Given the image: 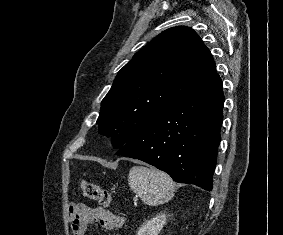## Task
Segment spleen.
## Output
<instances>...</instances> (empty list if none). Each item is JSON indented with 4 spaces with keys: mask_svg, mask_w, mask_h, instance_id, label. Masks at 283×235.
Masks as SVG:
<instances>
[{
    "mask_svg": "<svg viewBox=\"0 0 283 235\" xmlns=\"http://www.w3.org/2000/svg\"><path fill=\"white\" fill-rule=\"evenodd\" d=\"M130 189L149 206H158L171 200L175 192L172 178L155 168L133 166L128 175Z\"/></svg>",
    "mask_w": 283,
    "mask_h": 235,
    "instance_id": "1",
    "label": "spleen"
}]
</instances>
